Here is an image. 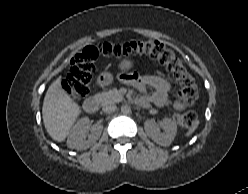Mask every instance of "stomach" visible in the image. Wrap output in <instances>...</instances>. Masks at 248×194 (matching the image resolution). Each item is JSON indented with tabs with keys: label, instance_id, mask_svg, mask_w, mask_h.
Wrapping results in <instances>:
<instances>
[{
	"label": "stomach",
	"instance_id": "obj_1",
	"mask_svg": "<svg viewBox=\"0 0 248 194\" xmlns=\"http://www.w3.org/2000/svg\"><path fill=\"white\" fill-rule=\"evenodd\" d=\"M133 66V62L129 59H123L120 63H119V69L122 71H128L132 68ZM104 82L105 83H110L112 82V76L110 74H104Z\"/></svg>",
	"mask_w": 248,
	"mask_h": 194
}]
</instances>
